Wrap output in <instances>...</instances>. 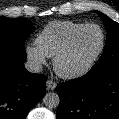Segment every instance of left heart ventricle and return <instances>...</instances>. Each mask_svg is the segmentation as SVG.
<instances>
[{
  "label": "left heart ventricle",
  "instance_id": "left-heart-ventricle-1",
  "mask_svg": "<svg viewBox=\"0 0 119 119\" xmlns=\"http://www.w3.org/2000/svg\"><path fill=\"white\" fill-rule=\"evenodd\" d=\"M100 44L101 33L97 28L85 30L76 39L70 52L61 61V68L71 71L84 66L96 54Z\"/></svg>",
  "mask_w": 119,
  "mask_h": 119
}]
</instances>
